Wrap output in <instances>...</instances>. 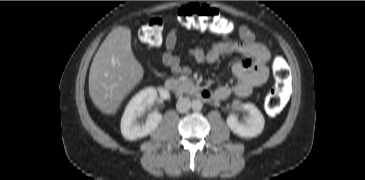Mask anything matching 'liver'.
Masks as SVG:
<instances>
[{
    "mask_svg": "<svg viewBox=\"0 0 365 180\" xmlns=\"http://www.w3.org/2000/svg\"><path fill=\"white\" fill-rule=\"evenodd\" d=\"M143 75V67L131 49V30L125 27L113 29L91 64L89 94L94 105L105 114L115 115Z\"/></svg>",
    "mask_w": 365,
    "mask_h": 180,
    "instance_id": "obj_1",
    "label": "liver"
}]
</instances>
